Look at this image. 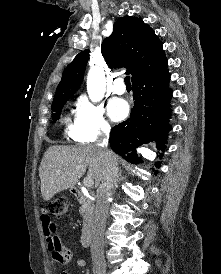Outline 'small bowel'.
I'll list each match as a JSON object with an SVG mask.
<instances>
[{
	"label": "small bowel",
	"instance_id": "small-bowel-1",
	"mask_svg": "<svg viewBox=\"0 0 221 274\" xmlns=\"http://www.w3.org/2000/svg\"><path fill=\"white\" fill-rule=\"evenodd\" d=\"M40 222L43 234L45 236L47 248L52 253L53 259L62 264L68 263L71 260V255L63 248L60 239L56 233V224L49 212L45 209L41 211ZM78 265L83 266L84 261L79 260ZM61 274L68 273L66 271H62Z\"/></svg>",
	"mask_w": 221,
	"mask_h": 274
}]
</instances>
